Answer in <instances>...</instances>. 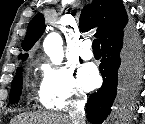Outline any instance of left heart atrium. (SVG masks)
Returning <instances> with one entry per match:
<instances>
[{"label":"left heart atrium","mask_w":145,"mask_h":124,"mask_svg":"<svg viewBox=\"0 0 145 124\" xmlns=\"http://www.w3.org/2000/svg\"><path fill=\"white\" fill-rule=\"evenodd\" d=\"M79 79L82 87L85 90H91L99 82V75L96 67L93 64H86L80 68Z\"/></svg>","instance_id":"1"}]
</instances>
